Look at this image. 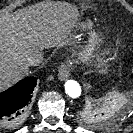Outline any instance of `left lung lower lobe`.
I'll list each match as a JSON object with an SVG mask.
<instances>
[{
  "instance_id": "0a47b994",
  "label": "left lung lower lobe",
  "mask_w": 133,
  "mask_h": 133,
  "mask_svg": "<svg viewBox=\"0 0 133 133\" xmlns=\"http://www.w3.org/2000/svg\"><path fill=\"white\" fill-rule=\"evenodd\" d=\"M100 121H101L102 124L106 122L105 120H100Z\"/></svg>"
}]
</instances>
